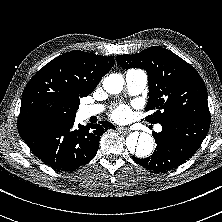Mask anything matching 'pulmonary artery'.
I'll list each match as a JSON object with an SVG mask.
<instances>
[{
    "label": "pulmonary artery",
    "instance_id": "e3ab8cb5",
    "mask_svg": "<svg viewBox=\"0 0 222 222\" xmlns=\"http://www.w3.org/2000/svg\"><path fill=\"white\" fill-rule=\"evenodd\" d=\"M125 82L128 92L132 95H137L141 93L147 84V74L145 71L140 69H130L125 74ZM104 110V106L97 105H88L82 108V112L85 117L94 116L100 114ZM161 126L156 127V131H161Z\"/></svg>",
    "mask_w": 222,
    "mask_h": 222
}]
</instances>
